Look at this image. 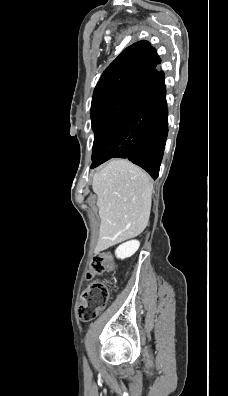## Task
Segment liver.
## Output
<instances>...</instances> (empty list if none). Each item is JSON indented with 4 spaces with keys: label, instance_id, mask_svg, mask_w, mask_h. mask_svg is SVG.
<instances>
[{
    "label": "liver",
    "instance_id": "1",
    "mask_svg": "<svg viewBox=\"0 0 228 396\" xmlns=\"http://www.w3.org/2000/svg\"><path fill=\"white\" fill-rule=\"evenodd\" d=\"M101 219L96 252L134 238L149 222L153 184L138 166L125 159L110 161L93 177Z\"/></svg>",
    "mask_w": 228,
    "mask_h": 396
}]
</instances>
